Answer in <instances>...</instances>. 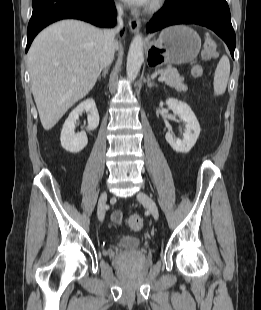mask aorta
I'll list each match as a JSON object with an SVG mask.
<instances>
[{"label":"aorta","mask_w":261,"mask_h":310,"mask_svg":"<svg viewBox=\"0 0 261 310\" xmlns=\"http://www.w3.org/2000/svg\"><path fill=\"white\" fill-rule=\"evenodd\" d=\"M143 61V38L141 34H137L131 42L127 57L126 73L129 80L136 79Z\"/></svg>","instance_id":"obj_1"}]
</instances>
